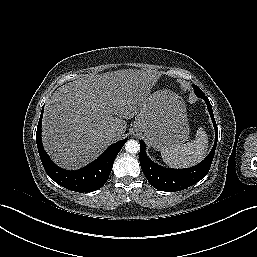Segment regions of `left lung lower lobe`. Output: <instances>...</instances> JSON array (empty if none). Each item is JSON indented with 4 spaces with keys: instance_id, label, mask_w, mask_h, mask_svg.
Instances as JSON below:
<instances>
[{
    "instance_id": "obj_1",
    "label": "left lung lower lobe",
    "mask_w": 257,
    "mask_h": 257,
    "mask_svg": "<svg viewBox=\"0 0 257 257\" xmlns=\"http://www.w3.org/2000/svg\"><path fill=\"white\" fill-rule=\"evenodd\" d=\"M193 87L195 94L207 104L208 112L215 128V143L209 155L198 165L186 169H171L161 167L152 162L145 154V143L140 141V164L142 171L148 182L161 191L175 192L192 186L208 174L212 164L218 140V130L209 99L201 90H196L195 86Z\"/></svg>"
}]
</instances>
